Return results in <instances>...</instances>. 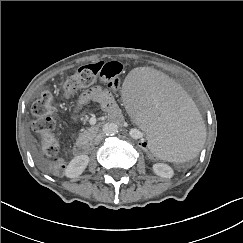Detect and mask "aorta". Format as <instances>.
<instances>
[{
	"mask_svg": "<svg viewBox=\"0 0 243 243\" xmlns=\"http://www.w3.org/2000/svg\"><path fill=\"white\" fill-rule=\"evenodd\" d=\"M119 127L114 122H108L103 126V133L107 136H113L118 133Z\"/></svg>",
	"mask_w": 243,
	"mask_h": 243,
	"instance_id": "obj_1",
	"label": "aorta"
}]
</instances>
